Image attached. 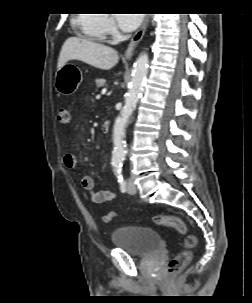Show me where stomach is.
Returning a JSON list of instances; mask_svg holds the SVG:
<instances>
[{"mask_svg": "<svg viewBox=\"0 0 252 303\" xmlns=\"http://www.w3.org/2000/svg\"><path fill=\"white\" fill-rule=\"evenodd\" d=\"M83 80L82 71L72 64H65L57 70L55 75V88L63 95L74 93Z\"/></svg>", "mask_w": 252, "mask_h": 303, "instance_id": "0dacf381", "label": "stomach"}]
</instances>
